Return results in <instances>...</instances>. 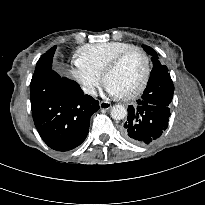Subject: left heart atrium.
<instances>
[{
    "label": "left heart atrium",
    "instance_id": "39dd6f15",
    "mask_svg": "<svg viewBox=\"0 0 205 205\" xmlns=\"http://www.w3.org/2000/svg\"><path fill=\"white\" fill-rule=\"evenodd\" d=\"M105 90L110 96L119 97V94L106 84H105Z\"/></svg>",
    "mask_w": 205,
    "mask_h": 205
}]
</instances>
